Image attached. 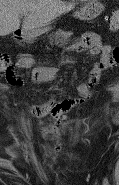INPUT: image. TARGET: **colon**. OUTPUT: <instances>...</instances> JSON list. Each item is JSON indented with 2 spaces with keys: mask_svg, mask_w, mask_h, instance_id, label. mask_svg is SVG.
<instances>
[{
  "mask_svg": "<svg viewBox=\"0 0 119 185\" xmlns=\"http://www.w3.org/2000/svg\"><path fill=\"white\" fill-rule=\"evenodd\" d=\"M118 20H119L118 12H114L110 18V28L112 30H115L118 28Z\"/></svg>",
  "mask_w": 119,
  "mask_h": 185,
  "instance_id": "1",
  "label": "colon"
}]
</instances>
